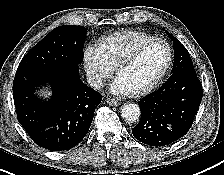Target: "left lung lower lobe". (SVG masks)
I'll use <instances>...</instances> for the list:
<instances>
[{
    "label": "left lung lower lobe",
    "mask_w": 224,
    "mask_h": 175,
    "mask_svg": "<svg viewBox=\"0 0 224 175\" xmlns=\"http://www.w3.org/2000/svg\"><path fill=\"white\" fill-rule=\"evenodd\" d=\"M202 95V85L193 67L171 72L156 92L138 102L141 119L132 129L134 137L155 147L177 141L190 129Z\"/></svg>",
    "instance_id": "obj_1"
}]
</instances>
